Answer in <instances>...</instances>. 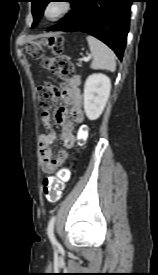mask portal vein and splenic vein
<instances>
[{
    "mask_svg": "<svg viewBox=\"0 0 158 275\" xmlns=\"http://www.w3.org/2000/svg\"><path fill=\"white\" fill-rule=\"evenodd\" d=\"M90 59H91L90 56H87V57H83V58H82L83 61H89Z\"/></svg>",
    "mask_w": 158,
    "mask_h": 275,
    "instance_id": "obj_1",
    "label": "portal vein and splenic vein"
}]
</instances>
